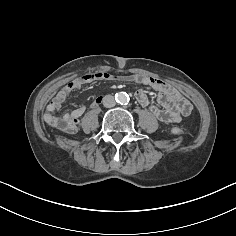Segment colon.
<instances>
[{"label":"colon","instance_id":"1","mask_svg":"<svg viewBox=\"0 0 236 236\" xmlns=\"http://www.w3.org/2000/svg\"><path fill=\"white\" fill-rule=\"evenodd\" d=\"M104 75H106V74H104ZM172 132L175 133V134H180V133H181V130L178 129V128H173V129H172Z\"/></svg>","mask_w":236,"mask_h":236}]
</instances>
